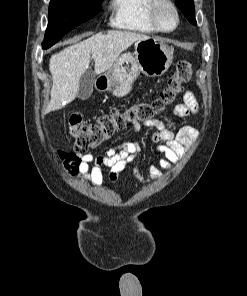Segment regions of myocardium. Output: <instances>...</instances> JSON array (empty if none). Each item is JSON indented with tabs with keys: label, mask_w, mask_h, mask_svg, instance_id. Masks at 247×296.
<instances>
[{
	"label": "myocardium",
	"mask_w": 247,
	"mask_h": 296,
	"mask_svg": "<svg viewBox=\"0 0 247 296\" xmlns=\"http://www.w3.org/2000/svg\"><path fill=\"white\" fill-rule=\"evenodd\" d=\"M162 7H168L174 15L175 22L171 28L167 29L161 25L159 12ZM149 15H150V19H151L153 25L155 26V28L158 31L163 32V33L173 32L179 26V23H180L178 9H177L176 5L174 4V2L171 0H152L150 10H149Z\"/></svg>",
	"instance_id": "obj_1"
}]
</instances>
